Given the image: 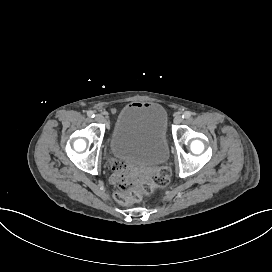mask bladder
Listing matches in <instances>:
<instances>
[{"instance_id":"bladder-1","label":"bladder","mask_w":272,"mask_h":272,"mask_svg":"<svg viewBox=\"0 0 272 272\" xmlns=\"http://www.w3.org/2000/svg\"><path fill=\"white\" fill-rule=\"evenodd\" d=\"M167 117L158 103L126 105L116 116L108 150L118 160L159 167L168 162Z\"/></svg>"}]
</instances>
